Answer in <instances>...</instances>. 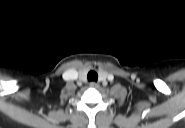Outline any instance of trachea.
<instances>
[{
  "mask_svg": "<svg viewBox=\"0 0 185 128\" xmlns=\"http://www.w3.org/2000/svg\"><path fill=\"white\" fill-rule=\"evenodd\" d=\"M87 79L88 81H92V82H96L98 80V74L96 71L92 70L89 71L88 75H87Z\"/></svg>",
  "mask_w": 185,
  "mask_h": 128,
  "instance_id": "1",
  "label": "trachea"
}]
</instances>
